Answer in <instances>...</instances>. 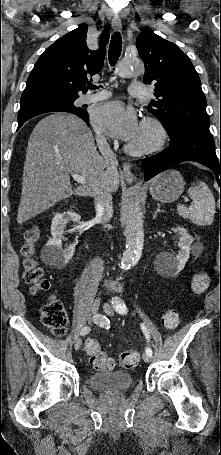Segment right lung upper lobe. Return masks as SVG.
<instances>
[{"label": "right lung upper lobe", "mask_w": 221, "mask_h": 455, "mask_svg": "<svg viewBox=\"0 0 221 455\" xmlns=\"http://www.w3.org/2000/svg\"><path fill=\"white\" fill-rule=\"evenodd\" d=\"M87 26H80L48 47L31 71L21 96L20 110L45 109L60 101L85 93L89 76L101 71L109 33L100 35V48L91 51L86 44Z\"/></svg>", "instance_id": "obj_1"}]
</instances>
